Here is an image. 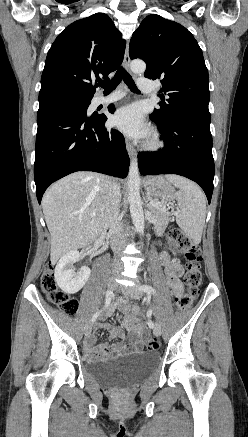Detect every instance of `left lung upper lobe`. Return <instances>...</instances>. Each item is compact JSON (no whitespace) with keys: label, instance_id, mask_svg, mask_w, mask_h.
<instances>
[{"label":"left lung upper lobe","instance_id":"1","mask_svg":"<svg viewBox=\"0 0 248 437\" xmlns=\"http://www.w3.org/2000/svg\"><path fill=\"white\" fill-rule=\"evenodd\" d=\"M129 54L145 61V77L163 85L160 92L168 98L162 94L160 108L152 114L161 124L181 113H209L208 71L201 48L185 27L151 14L133 33Z\"/></svg>","mask_w":248,"mask_h":437}]
</instances>
